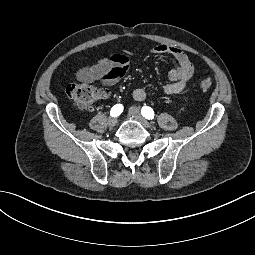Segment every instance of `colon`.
Masks as SVG:
<instances>
[{"label": "colon", "mask_w": 255, "mask_h": 255, "mask_svg": "<svg viewBox=\"0 0 255 255\" xmlns=\"http://www.w3.org/2000/svg\"><path fill=\"white\" fill-rule=\"evenodd\" d=\"M212 87L211 79H203L199 83L201 90H208ZM67 96L69 99L78 107L88 109L92 106L94 101L99 97L100 91L94 86L81 83V84H70L66 89Z\"/></svg>", "instance_id": "obj_1"}]
</instances>
